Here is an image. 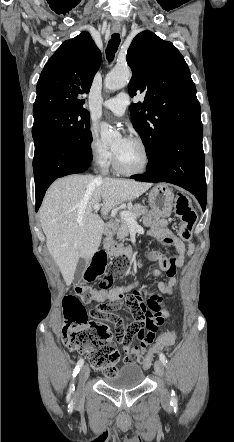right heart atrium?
Masks as SVG:
<instances>
[{"label": "right heart atrium", "mask_w": 234, "mask_h": 442, "mask_svg": "<svg viewBox=\"0 0 234 442\" xmlns=\"http://www.w3.org/2000/svg\"><path fill=\"white\" fill-rule=\"evenodd\" d=\"M88 149L90 158L96 166L107 168L110 165L113 157L112 152L104 145L94 130L90 131Z\"/></svg>", "instance_id": "1"}]
</instances>
